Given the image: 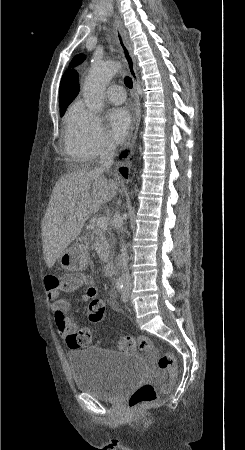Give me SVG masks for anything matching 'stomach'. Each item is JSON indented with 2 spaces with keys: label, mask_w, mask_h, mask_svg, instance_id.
Listing matches in <instances>:
<instances>
[{
  "label": "stomach",
  "mask_w": 245,
  "mask_h": 450,
  "mask_svg": "<svg viewBox=\"0 0 245 450\" xmlns=\"http://www.w3.org/2000/svg\"><path fill=\"white\" fill-rule=\"evenodd\" d=\"M58 262L66 270L82 271L89 264V255L86 248L76 242L58 258Z\"/></svg>",
  "instance_id": "0dacf381"
}]
</instances>
